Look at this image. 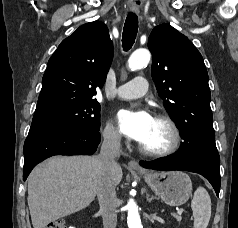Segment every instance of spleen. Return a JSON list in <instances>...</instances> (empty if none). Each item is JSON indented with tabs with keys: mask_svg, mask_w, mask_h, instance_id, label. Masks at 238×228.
I'll list each match as a JSON object with an SVG mask.
<instances>
[{
	"mask_svg": "<svg viewBox=\"0 0 238 228\" xmlns=\"http://www.w3.org/2000/svg\"><path fill=\"white\" fill-rule=\"evenodd\" d=\"M194 217V228H207L211 217V199L203 187L194 192L191 202Z\"/></svg>",
	"mask_w": 238,
	"mask_h": 228,
	"instance_id": "1",
	"label": "spleen"
}]
</instances>
